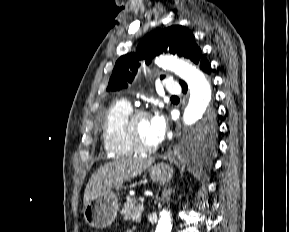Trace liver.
<instances>
[{
    "mask_svg": "<svg viewBox=\"0 0 289 232\" xmlns=\"http://www.w3.org/2000/svg\"><path fill=\"white\" fill-rule=\"evenodd\" d=\"M153 159L116 160L97 169L89 179L84 192V205L97 196L118 188L123 182L140 176Z\"/></svg>",
    "mask_w": 289,
    "mask_h": 232,
    "instance_id": "obj_1",
    "label": "liver"
}]
</instances>
